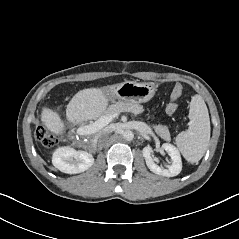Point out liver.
Listing matches in <instances>:
<instances>
[{
	"mask_svg": "<svg viewBox=\"0 0 239 239\" xmlns=\"http://www.w3.org/2000/svg\"><path fill=\"white\" fill-rule=\"evenodd\" d=\"M108 103L109 99L103 88L80 90L67 105V119L75 125L97 119L106 112ZM41 119L45 127L52 133H62L65 128L59 114L46 106L42 107ZM94 138L92 139L93 142Z\"/></svg>",
	"mask_w": 239,
	"mask_h": 239,
	"instance_id": "6515ba94",
	"label": "liver"
}]
</instances>
